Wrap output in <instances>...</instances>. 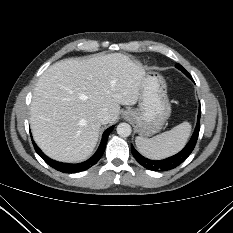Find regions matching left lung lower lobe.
<instances>
[{"mask_svg": "<svg viewBox=\"0 0 233 233\" xmlns=\"http://www.w3.org/2000/svg\"><path fill=\"white\" fill-rule=\"evenodd\" d=\"M188 77L192 79V77L190 75H188ZM200 116H201V107H199L196 128L194 130V133H193L190 141L185 146V148L182 151H180L179 153H177L176 155L169 157L167 159L154 161V160L147 159V158L143 157L142 155H140L132 145L131 152H132L134 158L143 167L150 169V170H154V171H166V170H170V169L177 167L191 154V152L193 151V149L196 145L198 135H199V130H200Z\"/></svg>", "mask_w": 233, "mask_h": 233, "instance_id": "left-lung-lower-lobe-1", "label": "left lung lower lobe"}]
</instances>
